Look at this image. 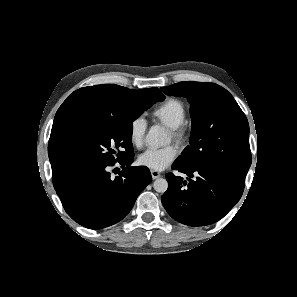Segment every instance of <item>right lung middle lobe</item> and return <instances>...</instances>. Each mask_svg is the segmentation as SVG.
<instances>
[{
    "label": "right lung middle lobe",
    "instance_id": "1",
    "mask_svg": "<svg viewBox=\"0 0 297 297\" xmlns=\"http://www.w3.org/2000/svg\"><path fill=\"white\" fill-rule=\"evenodd\" d=\"M144 91L130 99L117 113L85 116L74 120L60 133L57 153L66 171L95 163H110L133 155L132 122L157 101Z\"/></svg>",
    "mask_w": 297,
    "mask_h": 297
}]
</instances>
